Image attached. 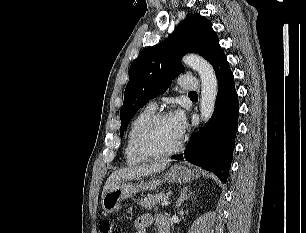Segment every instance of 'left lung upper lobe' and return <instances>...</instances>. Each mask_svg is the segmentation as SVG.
Returning <instances> with one entry per match:
<instances>
[{
    "mask_svg": "<svg viewBox=\"0 0 306 233\" xmlns=\"http://www.w3.org/2000/svg\"><path fill=\"white\" fill-rule=\"evenodd\" d=\"M186 53H198L212 65L224 54L212 23L198 13L188 14L166 40L144 49L131 64L120 110L121 137L137 110L184 72L180 59Z\"/></svg>",
    "mask_w": 306,
    "mask_h": 233,
    "instance_id": "left-lung-upper-lobe-1",
    "label": "left lung upper lobe"
}]
</instances>
